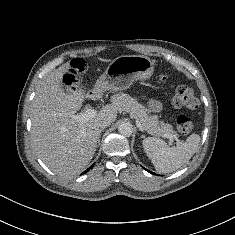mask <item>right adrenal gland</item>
Masks as SVG:
<instances>
[{
  "label": "right adrenal gland",
  "instance_id": "right-adrenal-gland-1",
  "mask_svg": "<svg viewBox=\"0 0 235 235\" xmlns=\"http://www.w3.org/2000/svg\"><path fill=\"white\" fill-rule=\"evenodd\" d=\"M104 131V129H100L99 130V136H98V141H97V144L99 145L100 144V137H101V132Z\"/></svg>",
  "mask_w": 235,
  "mask_h": 235
}]
</instances>
